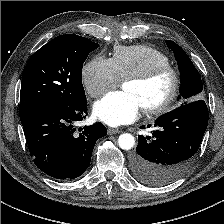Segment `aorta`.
I'll list each match as a JSON object with an SVG mask.
<instances>
[{"instance_id":"1","label":"aorta","mask_w":224,"mask_h":224,"mask_svg":"<svg viewBox=\"0 0 224 224\" xmlns=\"http://www.w3.org/2000/svg\"><path fill=\"white\" fill-rule=\"evenodd\" d=\"M118 144L123 150H130L135 145L134 137L129 133L121 134L118 138Z\"/></svg>"}]
</instances>
